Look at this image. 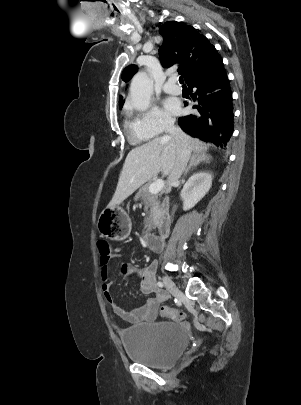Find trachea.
Segmentation results:
<instances>
[{"mask_svg":"<svg viewBox=\"0 0 301 405\" xmlns=\"http://www.w3.org/2000/svg\"><path fill=\"white\" fill-rule=\"evenodd\" d=\"M179 82H180V84H184V80H183L182 76L179 77Z\"/></svg>","mask_w":301,"mask_h":405,"instance_id":"1","label":"trachea"}]
</instances>
